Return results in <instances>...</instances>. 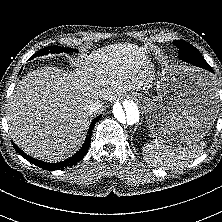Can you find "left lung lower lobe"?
<instances>
[{"instance_id": "1", "label": "left lung lower lobe", "mask_w": 222, "mask_h": 222, "mask_svg": "<svg viewBox=\"0 0 222 222\" xmlns=\"http://www.w3.org/2000/svg\"><path fill=\"white\" fill-rule=\"evenodd\" d=\"M183 61H184V60H183ZM185 61L188 62V63H191V64H193V65H195V66H198V67H201V65H202L201 63L196 62L195 60L189 59V58H185ZM201 68H204V69H207V70L213 72V70H212L211 67H203V66H202Z\"/></svg>"}]
</instances>
